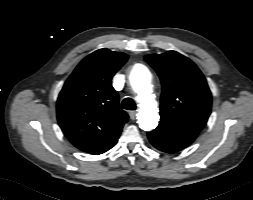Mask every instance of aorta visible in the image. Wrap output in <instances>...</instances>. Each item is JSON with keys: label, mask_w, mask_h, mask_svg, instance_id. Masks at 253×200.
Here are the masks:
<instances>
[{"label": "aorta", "mask_w": 253, "mask_h": 200, "mask_svg": "<svg viewBox=\"0 0 253 200\" xmlns=\"http://www.w3.org/2000/svg\"><path fill=\"white\" fill-rule=\"evenodd\" d=\"M132 88L139 96L138 124L145 131L153 130L159 121L157 102L151 88V73L143 65H137L131 72Z\"/></svg>", "instance_id": "aorta-1"}]
</instances>
